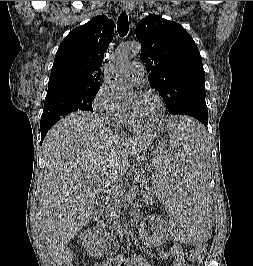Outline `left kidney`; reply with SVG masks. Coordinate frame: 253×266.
<instances>
[{
  "instance_id": "left-kidney-1",
  "label": "left kidney",
  "mask_w": 253,
  "mask_h": 266,
  "mask_svg": "<svg viewBox=\"0 0 253 266\" xmlns=\"http://www.w3.org/2000/svg\"><path fill=\"white\" fill-rule=\"evenodd\" d=\"M155 224V231L150 235L145 229V222H142L138 228L140 239L147 247H159L169 239L170 228L167 222L159 215H151L144 219Z\"/></svg>"
}]
</instances>
